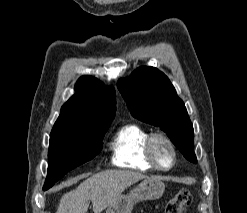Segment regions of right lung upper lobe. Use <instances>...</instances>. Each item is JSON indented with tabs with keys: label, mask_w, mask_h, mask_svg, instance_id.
Returning <instances> with one entry per match:
<instances>
[{
	"label": "right lung upper lobe",
	"mask_w": 247,
	"mask_h": 213,
	"mask_svg": "<svg viewBox=\"0 0 247 213\" xmlns=\"http://www.w3.org/2000/svg\"><path fill=\"white\" fill-rule=\"evenodd\" d=\"M76 93L62 106L53 130H92L111 124L116 111V93L94 77L82 76Z\"/></svg>",
	"instance_id": "right-lung-upper-lobe-1"
}]
</instances>
